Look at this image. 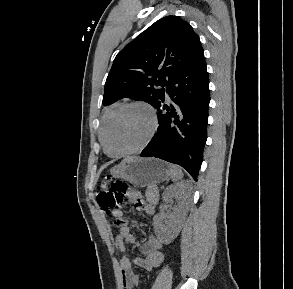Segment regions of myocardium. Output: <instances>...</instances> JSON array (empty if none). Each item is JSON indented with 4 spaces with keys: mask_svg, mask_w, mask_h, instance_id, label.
Instances as JSON below:
<instances>
[{
    "mask_svg": "<svg viewBox=\"0 0 293 289\" xmlns=\"http://www.w3.org/2000/svg\"><path fill=\"white\" fill-rule=\"evenodd\" d=\"M133 106L142 107L149 113L150 120H151L150 130H149L146 138L144 139V141L136 148H133L128 151L120 152V153H113L109 150V146H108V134H109L110 128H111L115 118L122 111H124L125 109H127L129 107H133ZM158 126H159V120H158L157 113H156L155 109L150 104H148L144 101H139V100L124 103V104L120 105L113 112V114L110 116V118L108 119V121L106 123L104 134H103V150L106 155H108L109 157H112V158H121V157H125V156H129V155L138 153L141 150H143L146 146H148V144L152 141V139L154 138V136L158 130Z\"/></svg>",
    "mask_w": 293,
    "mask_h": 289,
    "instance_id": "f54148a6",
    "label": "myocardium"
}]
</instances>
